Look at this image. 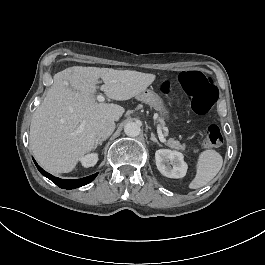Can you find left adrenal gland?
Segmentation results:
<instances>
[{"label":"left adrenal gland","instance_id":"a2214340","mask_svg":"<svg viewBox=\"0 0 265 265\" xmlns=\"http://www.w3.org/2000/svg\"><path fill=\"white\" fill-rule=\"evenodd\" d=\"M150 140L153 141V142H155V143H157V145H158L159 147H163V144H160V143L158 142V140L156 139V137L154 136L153 133H151V138H150Z\"/></svg>","mask_w":265,"mask_h":265}]
</instances>
